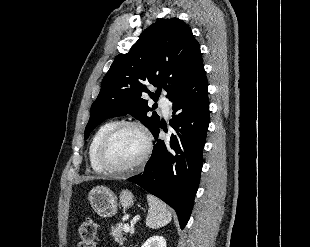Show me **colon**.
<instances>
[{
    "instance_id": "1",
    "label": "colon",
    "mask_w": 310,
    "mask_h": 247,
    "mask_svg": "<svg viewBox=\"0 0 310 247\" xmlns=\"http://www.w3.org/2000/svg\"><path fill=\"white\" fill-rule=\"evenodd\" d=\"M97 232L98 227L93 220H84L79 227L80 242L78 247H95Z\"/></svg>"
}]
</instances>
